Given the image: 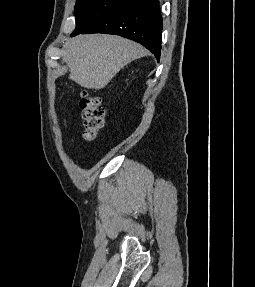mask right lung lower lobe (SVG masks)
Segmentation results:
<instances>
[{
    "label": "right lung lower lobe",
    "instance_id": "right-lung-lower-lobe-1",
    "mask_svg": "<svg viewBox=\"0 0 255 287\" xmlns=\"http://www.w3.org/2000/svg\"><path fill=\"white\" fill-rule=\"evenodd\" d=\"M87 33L116 34L134 40L150 50L159 60L162 43L159 0L127 3L78 34Z\"/></svg>",
    "mask_w": 255,
    "mask_h": 287
}]
</instances>
